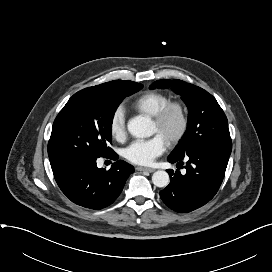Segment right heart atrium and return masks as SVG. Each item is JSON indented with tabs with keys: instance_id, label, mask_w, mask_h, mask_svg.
<instances>
[{
	"instance_id": "1",
	"label": "right heart atrium",
	"mask_w": 272,
	"mask_h": 272,
	"mask_svg": "<svg viewBox=\"0 0 272 272\" xmlns=\"http://www.w3.org/2000/svg\"><path fill=\"white\" fill-rule=\"evenodd\" d=\"M109 130L112 137L122 141L126 135V114L122 107H117L111 115Z\"/></svg>"
}]
</instances>
